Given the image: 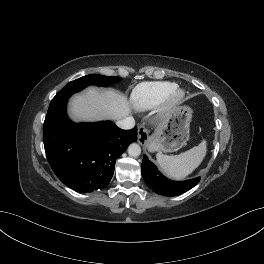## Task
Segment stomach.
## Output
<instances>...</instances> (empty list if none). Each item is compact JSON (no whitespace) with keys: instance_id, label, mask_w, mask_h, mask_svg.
Segmentation results:
<instances>
[{"instance_id":"0dacf381","label":"stomach","mask_w":264,"mask_h":264,"mask_svg":"<svg viewBox=\"0 0 264 264\" xmlns=\"http://www.w3.org/2000/svg\"><path fill=\"white\" fill-rule=\"evenodd\" d=\"M192 109L188 106L176 107L162 122L149 139L150 152H174L186 145L189 139Z\"/></svg>"}]
</instances>
